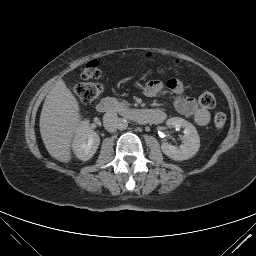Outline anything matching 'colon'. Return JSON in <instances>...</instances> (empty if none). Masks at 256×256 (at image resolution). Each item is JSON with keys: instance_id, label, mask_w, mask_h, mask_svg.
<instances>
[{"instance_id": "1", "label": "colon", "mask_w": 256, "mask_h": 256, "mask_svg": "<svg viewBox=\"0 0 256 256\" xmlns=\"http://www.w3.org/2000/svg\"><path fill=\"white\" fill-rule=\"evenodd\" d=\"M101 70L97 60L89 61L84 67L81 77L83 82L78 83L74 87V92L79 100L84 104H90L95 101L102 92V86L99 83L91 82L89 80H96L100 78ZM199 104L203 108H213L216 104V98L213 93L206 91L200 94L198 98ZM214 125L221 129L226 123V115L223 112H216L214 114Z\"/></svg>"}]
</instances>
